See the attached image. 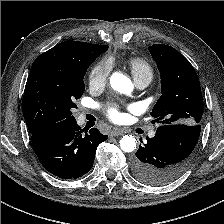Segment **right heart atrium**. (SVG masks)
<instances>
[{"instance_id":"1","label":"right heart atrium","mask_w":224,"mask_h":224,"mask_svg":"<svg viewBox=\"0 0 224 224\" xmlns=\"http://www.w3.org/2000/svg\"><path fill=\"white\" fill-rule=\"evenodd\" d=\"M112 65L109 61L96 63L89 72V85L91 88H103L110 77Z\"/></svg>"}]
</instances>
